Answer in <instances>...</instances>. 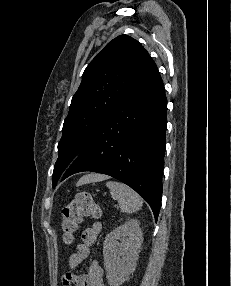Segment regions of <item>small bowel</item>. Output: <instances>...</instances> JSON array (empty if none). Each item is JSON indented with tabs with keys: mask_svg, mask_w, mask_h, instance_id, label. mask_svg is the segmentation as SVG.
<instances>
[{
	"mask_svg": "<svg viewBox=\"0 0 231 286\" xmlns=\"http://www.w3.org/2000/svg\"><path fill=\"white\" fill-rule=\"evenodd\" d=\"M102 226L99 222H93L84 229L81 235V242L76 251L68 260L70 271L63 278V286H105L103 283V269L97 258L93 259L86 274H76L74 271L90 256L91 247L97 240Z\"/></svg>",
	"mask_w": 231,
	"mask_h": 286,
	"instance_id": "obj_1",
	"label": "small bowel"
}]
</instances>
